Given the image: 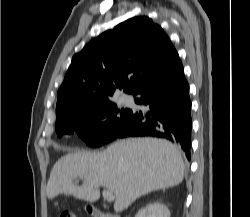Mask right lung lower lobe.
<instances>
[{"instance_id":"obj_1","label":"right lung lower lobe","mask_w":250,"mask_h":217,"mask_svg":"<svg viewBox=\"0 0 250 217\" xmlns=\"http://www.w3.org/2000/svg\"><path fill=\"white\" fill-rule=\"evenodd\" d=\"M135 102L146 111L131 113L129 122L116 138L156 136L176 143L190 159L191 101L189 85L177 56L159 76L136 91Z\"/></svg>"}]
</instances>
